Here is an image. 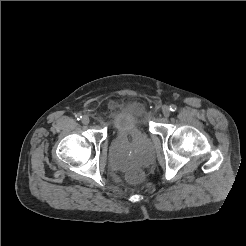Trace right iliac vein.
Wrapping results in <instances>:
<instances>
[{
    "instance_id": "right-iliac-vein-1",
    "label": "right iliac vein",
    "mask_w": 246,
    "mask_h": 246,
    "mask_svg": "<svg viewBox=\"0 0 246 246\" xmlns=\"http://www.w3.org/2000/svg\"><path fill=\"white\" fill-rule=\"evenodd\" d=\"M81 121H82V123H83L84 125H87V124H89V122H90V118H89L87 115H84V116L82 117Z\"/></svg>"
}]
</instances>
